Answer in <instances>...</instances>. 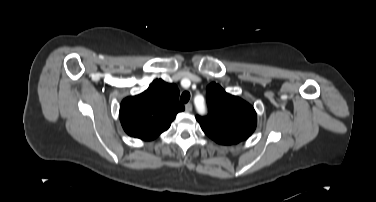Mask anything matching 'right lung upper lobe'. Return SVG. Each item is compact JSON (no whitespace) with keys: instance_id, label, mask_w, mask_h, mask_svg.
I'll return each instance as SVG.
<instances>
[{"instance_id":"obj_1","label":"right lung upper lobe","mask_w":376,"mask_h":202,"mask_svg":"<svg viewBox=\"0 0 376 202\" xmlns=\"http://www.w3.org/2000/svg\"><path fill=\"white\" fill-rule=\"evenodd\" d=\"M178 99L175 84L154 80L143 93L121 102L119 117L124 131L142 140L157 138L170 127L176 114L185 109Z\"/></svg>"}]
</instances>
